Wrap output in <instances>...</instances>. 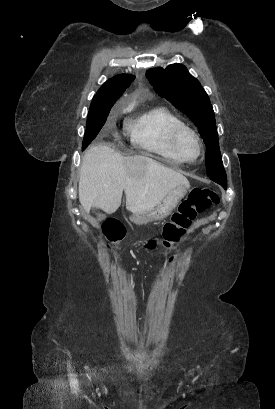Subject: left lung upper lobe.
Wrapping results in <instances>:
<instances>
[{"label":"left lung upper lobe","instance_id":"obj_1","mask_svg":"<svg viewBox=\"0 0 275 409\" xmlns=\"http://www.w3.org/2000/svg\"><path fill=\"white\" fill-rule=\"evenodd\" d=\"M146 76L160 96L185 113L198 127L207 148V175L216 183L227 186L214 111L199 81L182 64H173L166 69H149Z\"/></svg>","mask_w":275,"mask_h":409}]
</instances>
